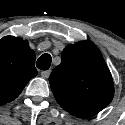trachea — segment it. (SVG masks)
<instances>
[{"label": "trachea", "mask_w": 125, "mask_h": 125, "mask_svg": "<svg viewBox=\"0 0 125 125\" xmlns=\"http://www.w3.org/2000/svg\"><path fill=\"white\" fill-rule=\"evenodd\" d=\"M52 57L50 54L45 53L37 60V67L41 70H48L50 68Z\"/></svg>", "instance_id": "obj_1"}]
</instances>
